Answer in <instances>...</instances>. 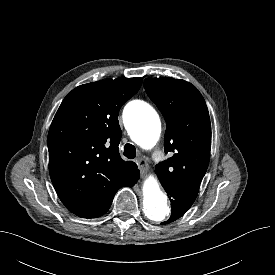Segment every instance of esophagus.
I'll return each mask as SVG.
<instances>
[{"label": "esophagus", "mask_w": 275, "mask_h": 275, "mask_svg": "<svg viewBox=\"0 0 275 275\" xmlns=\"http://www.w3.org/2000/svg\"><path fill=\"white\" fill-rule=\"evenodd\" d=\"M136 163L141 170L148 171L149 165L145 159H142V158L136 159Z\"/></svg>", "instance_id": "1"}]
</instances>
